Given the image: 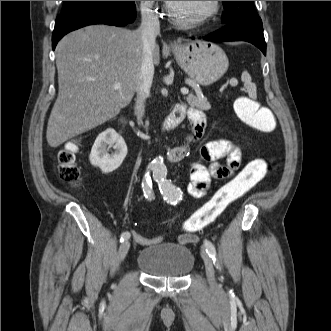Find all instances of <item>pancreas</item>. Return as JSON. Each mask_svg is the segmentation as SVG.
<instances>
[{
	"label": "pancreas",
	"instance_id": "pancreas-1",
	"mask_svg": "<svg viewBox=\"0 0 331 331\" xmlns=\"http://www.w3.org/2000/svg\"><path fill=\"white\" fill-rule=\"evenodd\" d=\"M186 100L189 103V105L195 106L199 109L208 110L211 107L207 98L204 96H201L200 94H197V95L190 94L186 98Z\"/></svg>",
	"mask_w": 331,
	"mask_h": 331
}]
</instances>
